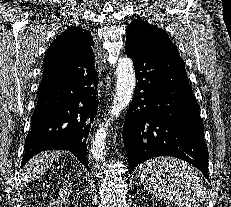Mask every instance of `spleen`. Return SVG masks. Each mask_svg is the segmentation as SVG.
<instances>
[{"label": "spleen", "mask_w": 231, "mask_h": 207, "mask_svg": "<svg viewBox=\"0 0 231 207\" xmlns=\"http://www.w3.org/2000/svg\"><path fill=\"white\" fill-rule=\"evenodd\" d=\"M138 176L151 194L178 207H199L205 198V188L194 169L174 158L149 160L139 166Z\"/></svg>", "instance_id": "obj_1"}]
</instances>
